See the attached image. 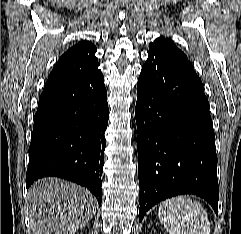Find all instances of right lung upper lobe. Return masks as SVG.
I'll return each mask as SVG.
<instances>
[{"mask_svg":"<svg viewBox=\"0 0 241 234\" xmlns=\"http://www.w3.org/2000/svg\"><path fill=\"white\" fill-rule=\"evenodd\" d=\"M96 50L88 41H80L72 46L59 58L45 86L78 78L98 67Z\"/></svg>","mask_w":241,"mask_h":234,"instance_id":"right-lung-upper-lobe-1","label":"right lung upper lobe"}]
</instances>
